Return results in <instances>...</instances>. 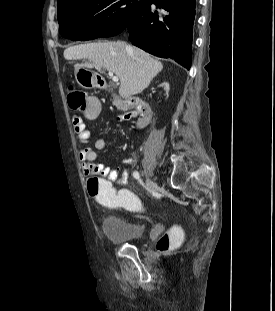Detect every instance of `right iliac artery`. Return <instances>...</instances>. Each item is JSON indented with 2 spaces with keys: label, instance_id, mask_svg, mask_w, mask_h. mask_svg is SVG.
<instances>
[{
  "label": "right iliac artery",
  "instance_id": "82829eb1",
  "mask_svg": "<svg viewBox=\"0 0 275 311\" xmlns=\"http://www.w3.org/2000/svg\"><path fill=\"white\" fill-rule=\"evenodd\" d=\"M133 177L135 178V179H140V174H139V172L138 171H134L133 172Z\"/></svg>",
  "mask_w": 275,
  "mask_h": 311
}]
</instances>
